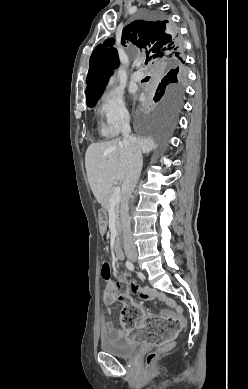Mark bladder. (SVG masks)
I'll list each match as a JSON object with an SVG mask.
<instances>
[{"mask_svg": "<svg viewBox=\"0 0 248 389\" xmlns=\"http://www.w3.org/2000/svg\"><path fill=\"white\" fill-rule=\"evenodd\" d=\"M139 344L127 340L124 336L113 333L109 335H101L100 348L109 355L119 358H129L138 350Z\"/></svg>", "mask_w": 248, "mask_h": 389, "instance_id": "1", "label": "bladder"}]
</instances>
